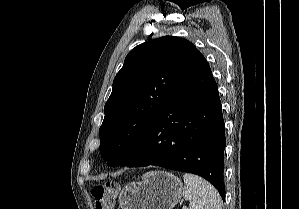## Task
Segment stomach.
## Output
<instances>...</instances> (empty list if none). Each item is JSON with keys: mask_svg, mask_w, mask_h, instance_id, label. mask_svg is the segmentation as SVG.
<instances>
[{"mask_svg": "<svg viewBox=\"0 0 299 209\" xmlns=\"http://www.w3.org/2000/svg\"><path fill=\"white\" fill-rule=\"evenodd\" d=\"M183 183L165 171L146 173L141 181L127 184L119 194L121 209H173L183 194Z\"/></svg>", "mask_w": 299, "mask_h": 209, "instance_id": "1", "label": "stomach"}]
</instances>
